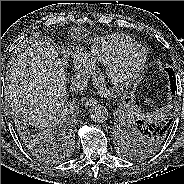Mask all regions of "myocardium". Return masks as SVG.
Listing matches in <instances>:
<instances>
[{
    "label": "myocardium",
    "instance_id": "f54148a6",
    "mask_svg": "<svg viewBox=\"0 0 184 184\" xmlns=\"http://www.w3.org/2000/svg\"><path fill=\"white\" fill-rule=\"evenodd\" d=\"M147 58L144 47L130 46L105 64L104 76L115 88L125 89L140 76Z\"/></svg>",
    "mask_w": 184,
    "mask_h": 184
}]
</instances>
